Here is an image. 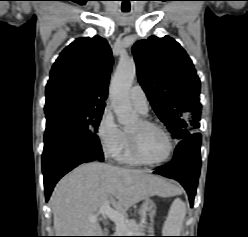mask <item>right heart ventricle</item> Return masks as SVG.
<instances>
[{
	"instance_id": "obj_1",
	"label": "right heart ventricle",
	"mask_w": 248,
	"mask_h": 237,
	"mask_svg": "<svg viewBox=\"0 0 248 237\" xmlns=\"http://www.w3.org/2000/svg\"><path fill=\"white\" fill-rule=\"evenodd\" d=\"M125 135V139H124V144H123V149L121 151V153L118 155L117 159L124 163V164H128V165H136V164H140V162H138L131 153L130 150V146H129V142H128V138H127V134L124 133Z\"/></svg>"
}]
</instances>
